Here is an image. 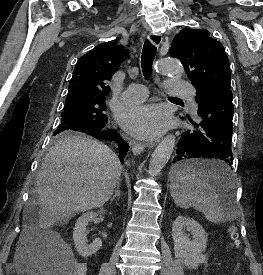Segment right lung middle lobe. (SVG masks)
I'll return each mask as SVG.
<instances>
[{
	"instance_id": "obj_1",
	"label": "right lung middle lobe",
	"mask_w": 263,
	"mask_h": 275,
	"mask_svg": "<svg viewBox=\"0 0 263 275\" xmlns=\"http://www.w3.org/2000/svg\"><path fill=\"white\" fill-rule=\"evenodd\" d=\"M104 96L77 95L67 97L61 113V123L54 132L53 141L63 138L64 132L78 129H102L107 117Z\"/></svg>"
}]
</instances>
